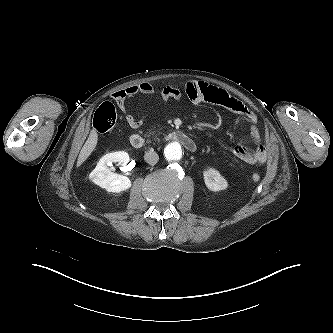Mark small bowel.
<instances>
[{"instance_id":"1","label":"small bowel","mask_w":333,"mask_h":333,"mask_svg":"<svg viewBox=\"0 0 333 333\" xmlns=\"http://www.w3.org/2000/svg\"><path fill=\"white\" fill-rule=\"evenodd\" d=\"M139 94L155 96L162 102L170 99L180 100L186 96L193 103H212L230 110L249 122L250 136L257 145L255 149L238 145L233 148V154L250 165H261L267 161L268 152L266 146L261 141L255 113L240 100L230 96L224 90L198 81L188 82L184 91L174 86L159 88L150 83H140L119 90L112 94V99L126 113L125 121L132 129L139 128L144 122V116L135 117L128 113L127 109L129 99Z\"/></svg>"}]
</instances>
